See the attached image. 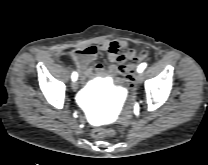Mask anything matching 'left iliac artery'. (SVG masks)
Returning a JSON list of instances; mask_svg holds the SVG:
<instances>
[{
    "mask_svg": "<svg viewBox=\"0 0 208 165\" xmlns=\"http://www.w3.org/2000/svg\"><path fill=\"white\" fill-rule=\"evenodd\" d=\"M146 66H147L146 63L140 64L139 67H138V72L141 73L146 68Z\"/></svg>",
    "mask_w": 208,
    "mask_h": 165,
    "instance_id": "1",
    "label": "left iliac artery"
}]
</instances>
